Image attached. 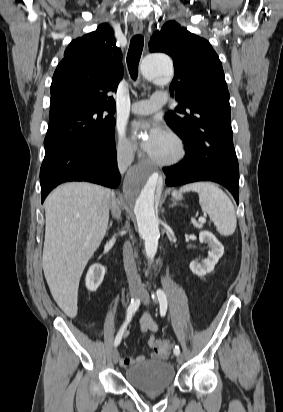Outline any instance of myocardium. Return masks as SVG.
<instances>
[{"label": "myocardium", "mask_w": 283, "mask_h": 412, "mask_svg": "<svg viewBox=\"0 0 283 412\" xmlns=\"http://www.w3.org/2000/svg\"><path fill=\"white\" fill-rule=\"evenodd\" d=\"M166 134L174 141V143L176 144V148H177V152L176 154L167 160H160L157 159L153 156H151L150 154L148 155L149 160L154 163L155 165L158 166H163V167H170V166H174L178 163H180L186 156V146L185 143L183 141V139L174 131L172 130H167Z\"/></svg>", "instance_id": "1"}]
</instances>
